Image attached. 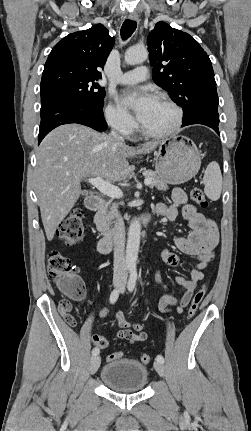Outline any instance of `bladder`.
I'll return each instance as SVG.
<instances>
[{"instance_id":"obj_1","label":"bladder","mask_w":251,"mask_h":431,"mask_svg":"<svg viewBox=\"0 0 251 431\" xmlns=\"http://www.w3.org/2000/svg\"><path fill=\"white\" fill-rule=\"evenodd\" d=\"M100 378L107 387L116 392L134 393L146 386L148 371L137 360L117 359L102 368Z\"/></svg>"}]
</instances>
